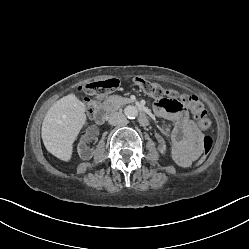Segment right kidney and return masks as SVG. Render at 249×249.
<instances>
[{"instance_id": "1", "label": "right kidney", "mask_w": 249, "mask_h": 249, "mask_svg": "<svg viewBox=\"0 0 249 249\" xmlns=\"http://www.w3.org/2000/svg\"><path fill=\"white\" fill-rule=\"evenodd\" d=\"M98 134V128L96 126H91L86 134L81 138L80 143L78 144L77 151L81 159L89 160L92 158L94 151L87 147L85 143L89 140V138H93Z\"/></svg>"}]
</instances>
